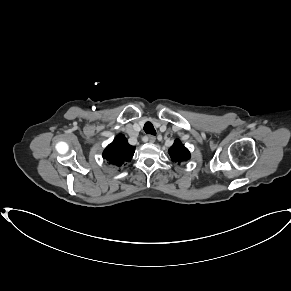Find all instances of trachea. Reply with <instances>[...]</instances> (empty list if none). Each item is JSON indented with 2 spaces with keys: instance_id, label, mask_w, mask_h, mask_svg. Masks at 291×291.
Here are the masks:
<instances>
[{
  "instance_id": "trachea-1",
  "label": "trachea",
  "mask_w": 291,
  "mask_h": 291,
  "mask_svg": "<svg viewBox=\"0 0 291 291\" xmlns=\"http://www.w3.org/2000/svg\"><path fill=\"white\" fill-rule=\"evenodd\" d=\"M144 131H145L147 134L156 135V130H155V128L153 127L152 123H150V122H146V123H145V125H144Z\"/></svg>"
}]
</instances>
